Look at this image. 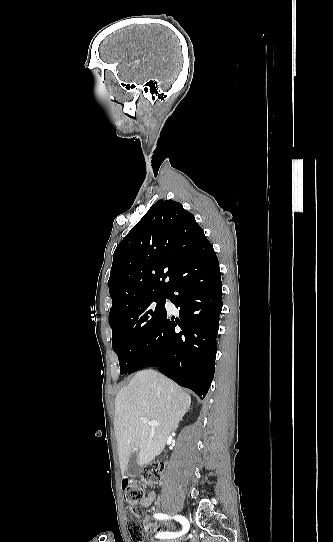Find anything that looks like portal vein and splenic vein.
Here are the masks:
<instances>
[{
    "mask_svg": "<svg viewBox=\"0 0 333 542\" xmlns=\"http://www.w3.org/2000/svg\"><path fill=\"white\" fill-rule=\"evenodd\" d=\"M143 424H150V426H159L158 420H148V418H140Z\"/></svg>",
    "mask_w": 333,
    "mask_h": 542,
    "instance_id": "portal-vein-and-splenic-vein-1",
    "label": "portal vein and splenic vein"
}]
</instances>
